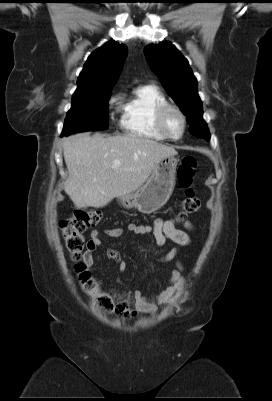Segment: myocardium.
<instances>
[{"instance_id": "1", "label": "myocardium", "mask_w": 272, "mask_h": 401, "mask_svg": "<svg viewBox=\"0 0 272 401\" xmlns=\"http://www.w3.org/2000/svg\"><path fill=\"white\" fill-rule=\"evenodd\" d=\"M170 112L177 113L181 118L182 129H181V133L179 136H173L168 131L167 124H166V118H167L168 113H170ZM156 123H157L159 130L162 132V134L167 139H170L173 141L180 140L184 136L186 127H187V119H186L185 113L182 111V109L179 106H177L175 104H171V103H166L159 108V110L157 111V115H156Z\"/></svg>"}]
</instances>
